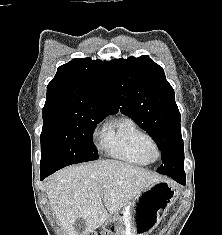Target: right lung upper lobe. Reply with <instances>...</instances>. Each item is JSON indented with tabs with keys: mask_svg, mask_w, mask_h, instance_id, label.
Returning a JSON list of instances; mask_svg holds the SVG:
<instances>
[{
	"mask_svg": "<svg viewBox=\"0 0 222 235\" xmlns=\"http://www.w3.org/2000/svg\"><path fill=\"white\" fill-rule=\"evenodd\" d=\"M60 110L106 116L118 112L106 67L101 60L75 58L58 68L47 86L43 114Z\"/></svg>",
	"mask_w": 222,
	"mask_h": 235,
	"instance_id": "obj_1",
	"label": "right lung upper lobe"
}]
</instances>
